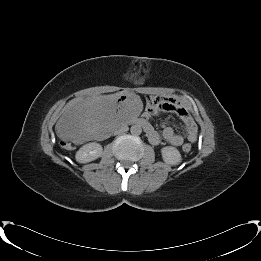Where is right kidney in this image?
Listing matches in <instances>:
<instances>
[{
	"label": "right kidney",
	"mask_w": 261,
	"mask_h": 261,
	"mask_svg": "<svg viewBox=\"0 0 261 261\" xmlns=\"http://www.w3.org/2000/svg\"><path fill=\"white\" fill-rule=\"evenodd\" d=\"M103 147L97 142H90L83 145L75 155L76 161L79 163H88L101 157Z\"/></svg>",
	"instance_id": "1"
}]
</instances>
